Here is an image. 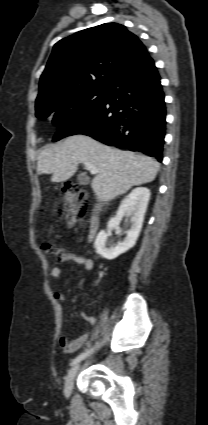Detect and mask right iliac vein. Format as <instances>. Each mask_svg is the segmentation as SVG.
I'll use <instances>...</instances> for the list:
<instances>
[{"label": "right iliac vein", "mask_w": 208, "mask_h": 425, "mask_svg": "<svg viewBox=\"0 0 208 425\" xmlns=\"http://www.w3.org/2000/svg\"><path fill=\"white\" fill-rule=\"evenodd\" d=\"M78 370H79V364H76L69 370L66 376L65 383H64V395L66 397H69L72 393L74 380Z\"/></svg>", "instance_id": "63e3f726"}]
</instances>
